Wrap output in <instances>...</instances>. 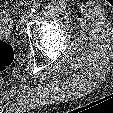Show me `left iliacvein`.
<instances>
[{"label":"left iliac vein","mask_w":113,"mask_h":113,"mask_svg":"<svg viewBox=\"0 0 113 113\" xmlns=\"http://www.w3.org/2000/svg\"><path fill=\"white\" fill-rule=\"evenodd\" d=\"M33 13L31 10H27L24 12V14L22 15V22L26 23L31 17H32Z\"/></svg>","instance_id":"obj_1"}]
</instances>
